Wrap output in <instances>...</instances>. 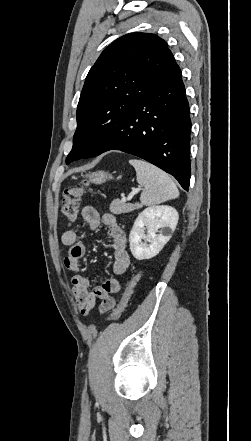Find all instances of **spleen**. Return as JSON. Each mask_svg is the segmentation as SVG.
Returning a JSON list of instances; mask_svg holds the SVG:
<instances>
[{
	"mask_svg": "<svg viewBox=\"0 0 251 441\" xmlns=\"http://www.w3.org/2000/svg\"><path fill=\"white\" fill-rule=\"evenodd\" d=\"M129 163L136 170L137 182L143 186L142 205L153 206L179 196L174 181L158 167L140 159H130Z\"/></svg>",
	"mask_w": 251,
	"mask_h": 441,
	"instance_id": "1",
	"label": "spleen"
}]
</instances>
